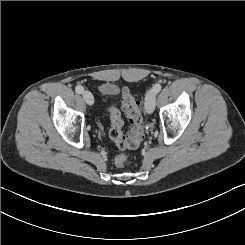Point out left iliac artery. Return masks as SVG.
<instances>
[{"label":"left iliac artery","instance_id":"left-iliac-artery-1","mask_svg":"<svg viewBox=\"0 0 245 245\" xmlns=\"http://www.w3.org/2000/svg\"><path fill=\"white\" fill-rule=\"evenodd\" d=\"M161 88H162V85L161 84H158V83L153 86V90L156 93L160 92Z\"/></svg>","mask_w":245,"mask_h":245}]
</instances>
